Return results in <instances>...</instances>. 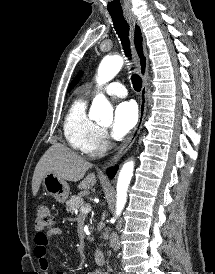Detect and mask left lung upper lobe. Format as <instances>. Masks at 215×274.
I'll use <instances>...</instances> for the list:
<instances>
[{
	"label": "left lung upper lobe",
	"instance_id": "left-lung-upper-lobe-1",
	"mask_svg": "<svg viewBox=\"0 0 215 274\" xmlns=\"http://www.w3.org/2000/svg\"><path fill=\"white\" fill-rule=\"evenodd\" d=\"M82 76V72H79V74L76 76V78L71 82V84L69 85L68 88V92L73 89V87L75 86V84L78 82L79 78Z\"/></svg>",
	"mask_w": 215,
	"mask_h": 274
}]
</instances>
